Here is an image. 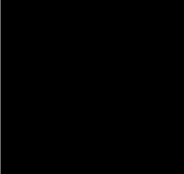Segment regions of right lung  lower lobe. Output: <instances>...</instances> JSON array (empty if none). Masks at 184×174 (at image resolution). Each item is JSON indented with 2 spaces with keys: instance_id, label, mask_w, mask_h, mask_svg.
<instances>
[{
  "instance_id": "right-lung-lower-lobe-1",
  "label": "right lung lower lobe",
  "mask_w": 184,
  "mask_h": 174,
  "mask_svg": "<svg viewBox=\"0 0 184 174\" xmlns=\"http://www.w3.org/2000/svg\"><path fill=\"white\" fill-rule=\"evenodd\" d=\"M75 121L68 118H58L55 121H38L35 126L37 138L52 146H63L72 136Z\"/></svg>"
}]
</instances>
